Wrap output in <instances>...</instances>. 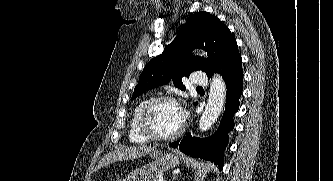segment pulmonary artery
I'll return each mask as SVG.
<instances>
[{
    "mask_svg": "<svg viewBox=\"0 0 333 181\" xmlns=\"http://www.w3.org/2000/svg\"><path fill=\"white\" fill-rule=\"evenodd\" d=\"M192 82L198 86H205L208 83L207 75L204 72H196Z\"/></svg>",
    "mask_w": 333,
    "mask_h": 181,
    "instance_id": "obj_1",
    "label": "pulmonary artery"
}]
</instances>
